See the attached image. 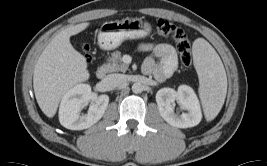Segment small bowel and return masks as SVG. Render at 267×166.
Instances as JSON below:
<instances>
[{"label": "small bowel", "instance_id": "c3829d8e", "mask_svg": "<svg viewBox=\"0 0 267 166\" xmlns=\"http://www.w3.org/2000/svg\"><path fill=\"white\" fill-rule=\"evenodd\" d=\"M139 50L151 53L145 59L142 70L145 74H152L157 81L167 80L176 70L178 57L169 42L141 43Z\"/></svg>", "mask_w": 267, "mask_h": 166}]
</instances>
